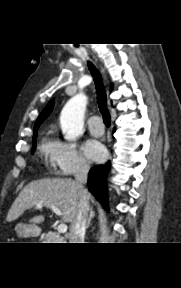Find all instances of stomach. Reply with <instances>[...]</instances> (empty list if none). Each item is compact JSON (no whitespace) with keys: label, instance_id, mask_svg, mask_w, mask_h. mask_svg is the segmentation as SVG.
I'll return each mask as SVG.
<instances>
[{"label":"stomach","instance_id":"0dacf381","mask_svg":"<svg viewBox=\"0 0 181 288\" xmlns=\"http://www.w3.org/2000/svg\"><path fill=\"white\" fill-rule=\"evenodd\" d=\"M15 231L17 235L22 238L35 237L39 234V230L37 228L22 223L16 225Z\"/></svg>","mask_w":181,"mask_h":288}]
</instances>
